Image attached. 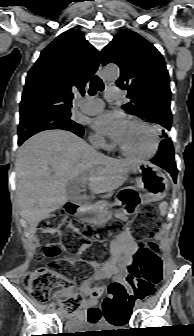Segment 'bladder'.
<instances>
[{
	"label": "bladder",
	"mask_w": 194,
	"mask_h": 336,
	"mask_svg": "<svg viewBox=\"0 0 194 336\" xmlns=\"http://www.w3.org/2000/svg\"><path fill=\"white\" fill-rule=\"evenodd\" d=\"M87 328V324L85 322L80 321H71L70 324L67 326V330L69 331H79Z\"/></svg>",
	"instance_id": "1"
}]
</instances>
